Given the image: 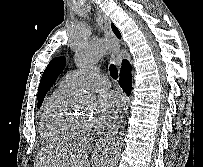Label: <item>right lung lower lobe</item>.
<instances>
[{
    "label": "right lung lower lobe",
    "instance_id": "right-lung-lower-lobe-1",
    "mask_svg": "<svg viewBox=\"0 0 203 167\" xmlns=\"http://www.w3.org/2000/svg\"><path fill=\"white\" fill-rule=\"evenodd\" d=\"M119 85L129 96L131 92L132 85V76H131V65L127 60H123L122 68L120 71Z\"/></svg>",
    "mask_w": 203,
    "mask_h": 167
}]
</instances>
